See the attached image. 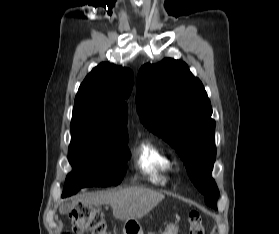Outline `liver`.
<instances>
[{
    "instance_id": "liver-1",
    "label": "liver",
    "mask_w": 279,
    "mask_h": 234,
    "mask_svg": "<svg viewBox=\"0 0 279 234\" xmlns=\"http://www.w3.org/2000/svg\"><path fill=\"white\" fill-rule=\"evenodd\" d=\"M164 198L163 194L150 189L129 187L115 192L88 194L82 196L78 201L95 206L110 204L113 216L116 219L127 221L141 219Z\"/></svg>"
}]
</instances>
